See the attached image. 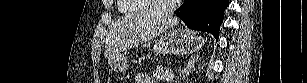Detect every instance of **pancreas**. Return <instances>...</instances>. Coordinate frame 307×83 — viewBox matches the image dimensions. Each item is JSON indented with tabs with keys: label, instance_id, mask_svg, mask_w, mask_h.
<instances>
[{
	"label": "pancreas",
	"instance_id": "obj_1",
	"mask_svg": "<svg viewBox=\"0 0 307 83\" xmlns=\"http://www.w3.org/2000/svg\"><path fill=\"white\" fill-rule=\"evenodd\" d=\"M168 74H170L169 70L162 67H157L153 71V77L158 80H164Z\"/></svg>",
	"mask_w": 307,
	"mask_h": 83
}]
</instances>
